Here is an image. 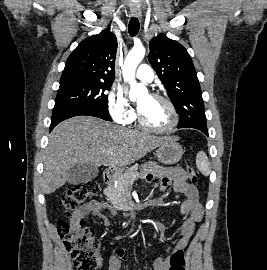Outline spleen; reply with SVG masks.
<instances>
[{
    "label": "spleen",
    "mask_w": 267,
    "mask_h": 270,
    "mask_svg": "<svg viewBox=\"0 0 267 270\" xmlns=\"http://www.w3.org/2000/svg\"><path fill=\"white\" fill-rule=\"evenodd\" d=\"M196 165L198 170L204 175L208 176L210 174V164L207 155L200 151L196 156Z\"/></svg>",
    "instance_id": "1"
}]
</instances>
